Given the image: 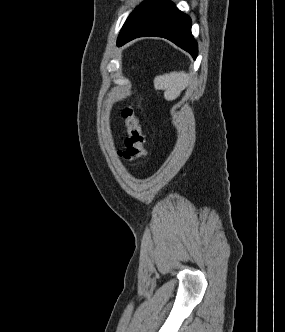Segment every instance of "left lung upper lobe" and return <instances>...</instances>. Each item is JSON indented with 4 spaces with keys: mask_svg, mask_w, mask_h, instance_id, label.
Instances as JSON below:
<instances>
[{
    "mask_svg": "<svg viewBox=\"0 0 285 332\" xmlns=\"http://www.w3.org/2000/svg\"><path fill=\"white\" fill-rule=\"evenodd\" d=\"M150 3V0L143 1L138 7L134 9V11L129 15L128 19L126 20L125 24L122 27V31L138 16V14ZM120 33V34H121Z\"/></svg>",
    "mask_w": 285,
    "mask_h": 332,
    "instance_id": "obj_1",
    "label": "left lung upper lobe"
}]
</instances>
